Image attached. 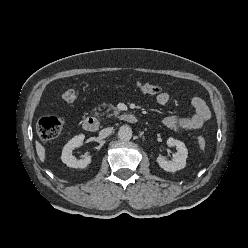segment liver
<instances>
[{"instance_id":"6515ba94","label":"liver","mask_w":248,"mask_h":248,"mask_svg":"<svg viewBox=\"0 0 248 248\" xmlns=\"http://www.w3.org/2000/svg\"><path fill=\"white\" fill-rule=\"evenodd\" d=\"M36 151H37V155L40 161L44 162L45 161V148L38 141H36Z\"/></svg>"}]
</instances>
